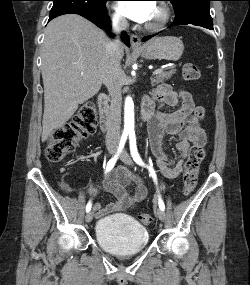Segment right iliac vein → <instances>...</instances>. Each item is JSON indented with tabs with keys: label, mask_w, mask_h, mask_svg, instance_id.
<instances>
[{
	"label": "right iliac vein",
	"mask_w": 250,
	"mask_h": 285,
	"mask_svg": "<svg viewBox=\"0 0 250 285\" xmlns=\"http://www.w3.org/2000/svg\"><path fill=\"white\" fill-rule=\"evenodd\" d=\"M115 151H116V148L115 147H110L109 148V153L111 154V155H113L114 153H115ZM92 219H93V212L92 211H89L87 214H86V217H85V220H86V222H91L92 221Z\"/></svg>",
	"instance_id": "right-iliac-vein-1"
}]
</instances>
